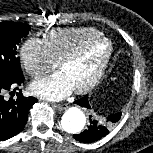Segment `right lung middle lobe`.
Wrapping results in <instances>:
<instances>
[{"label": "right lung middle lobe", "instance_id": "right-lung-middle-lobe-1", "mask_svg": "<svg viewBox=\"0 0 153 153\" xmlns=\"http://www.w3.org/2000/svg\"><path fill=\"white\" fill-rule=\"evenodd\" d=\"M30 26L25 23L4 21L0 23V74L13 78L22 77L17 45L29 34Z\"/></svg>", "mask_w": 153, "mask_h": 153}]
</instances>
